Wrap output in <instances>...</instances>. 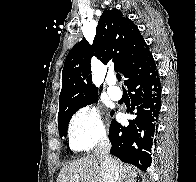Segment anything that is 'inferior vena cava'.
Returning <instances> with one entry per match:
<instances>
[{
  "instance_id": "obj_1",
  "label": "inferior vena cava",
  "mask_w": 196,
  "mask_h": 182,
  "mask_svg": "<svg viewBox=\"0 0 196 182\" xmlns=\"http://www.w3.org/2000/svg\"><path fill=\"white\" fill-rule=\"evenodd\" d=\"M111 143L104 136L95 148V155L99 158L103 173V182H121L116 162L109 154Z\"/></svg>"
}]
</instances>
